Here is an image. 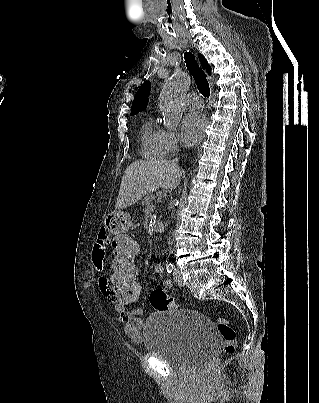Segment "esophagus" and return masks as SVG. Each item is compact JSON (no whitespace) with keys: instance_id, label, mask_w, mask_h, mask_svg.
<instances>
[{"instance_id":"esophagus-1","label":"esophagus","mask_w":319,"mask_h":403,"mask_svg":"<svg viewBox=\"0 0 319 403\" xmlns=\"http://www.w3.org/2000/svg\"><path fill=\"white\" fill-rule=\"evenodd\" d=\"M208 79H209V81H210V86H211V89H212V91H213V83H212V81H211V78L208 77Z\"/></svg>"}]
</instances>
